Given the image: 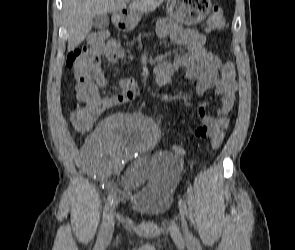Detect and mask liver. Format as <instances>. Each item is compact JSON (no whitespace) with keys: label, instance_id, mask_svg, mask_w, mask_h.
Returning <instances> with one entry per match:
<instances>
[{"label":"liver","instance_id":"obj_1","mask_svg":"<svg viewBox=\"0 0 295 250\" xmlns=\"http://www.w3.org/2000/svg\"><path fill=\"white\" fill-rule=\"evenodd\" d=\"M164 0H133L132 12H152ZM127 0H63V16L68 32V51L75 49L90 33L93 19L99 14L121 12Z\"/></svg>","mask_w":295,"mask_h":250}]
</instances>
